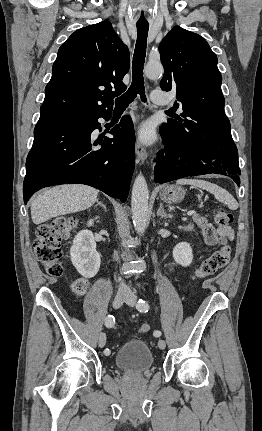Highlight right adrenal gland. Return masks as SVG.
Returning a JSON list of instances; mask_svg holds the SVG:
<instances>
[{
    "label": "right adrenal gland",
    "mask_w": 262,
    "mask_h": 431,
    "mask_svg": "<svg viewBox=\"0 0 262 431\" xmlns=\"http://www.w3.org/2000/svg\"><path fill=\"white\" fill-rule=\"evenodd\" d=\"M98 205L102 206L104 208V210L106 211V206L103 204V202L97 201L95 206L97 207Z\"/></svg>",
    "instance_id": "2a0ac1e0"
}]
</instances>
